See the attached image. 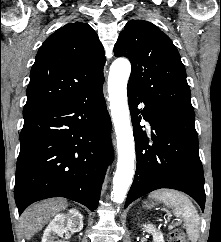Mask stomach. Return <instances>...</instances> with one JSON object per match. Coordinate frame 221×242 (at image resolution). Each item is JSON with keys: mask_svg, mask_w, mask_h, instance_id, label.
I'll list each match as a JSON object with an SVG mask.
<instances>
[{"mask_svg": "<svg viewBox=\"0 0 221 242\" xmlns=\"http://www.w3.org/2000/svg\"><path fill=\"white\" fill-rule=\"evenodd\" d=\"M150 206H152V205H147V204H146V207L150 208Z\"/></svg>", "mask_w": 221, "mask_h": 242, "instance_id": "0dacf381", "label": "stomach"}]
</instances>
